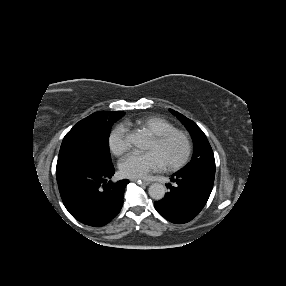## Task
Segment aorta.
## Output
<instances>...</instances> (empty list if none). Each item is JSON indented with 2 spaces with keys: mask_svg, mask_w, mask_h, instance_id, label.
Returning a JSON list of instances; mask_svg holds the SVG:
<instances>
[{
  "mask_svg": "<svg viewBox=\"0 0 286 286\" xmlns=\"http://www.w3.org/2000/svg\"><path fill=\"white\" fill-rule=\"evenodd\" d=\"M128 141L135 145L140 144L139 137L136 135H130L127 137ZM149 196L154 200H161L164 198L166 193V187L161 183H153L148 188Z\"/></svg>",
  "mask_w": 286,
  "mask_h": 286,
  "instance_id": "obj_1",
  "label": "aorta"
}]
</instances>
